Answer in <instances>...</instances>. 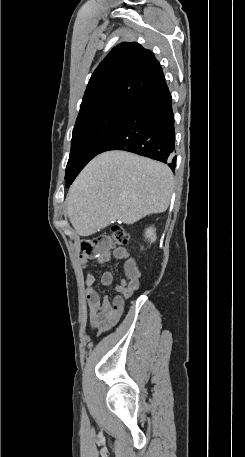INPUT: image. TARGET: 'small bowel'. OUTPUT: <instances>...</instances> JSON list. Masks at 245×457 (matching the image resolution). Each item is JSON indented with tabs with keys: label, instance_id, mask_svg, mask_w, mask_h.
I'll return each mask as SVG.
<instances>
[{
	"label": "small bowel",
	"instance_id": "c3829d8e",
	"mask_svg": "<svg viewBox=\"0 0 245 457\" xmlns=\"http://www.w3.org/2000/svg\"><path fill=\"white\" fill-rule=\"evenodd\" d=\"M112 258L123 262L125 277L115 286L116 295L109 300L96 289V276L89 273L85 279L86 301L89 308L90 331L97 330L99 334L106 332L115 325L125 309L126 300L138 289L141 279V271L130 253L122 247L94 258L81 259L82 268H87L92 262L105 263ZM113 282V276L110 272H104L99 280L102 286H109Z\"/></svg>",
	"mask_w": 245,
	"mask_h": 457
}]
</instances>
